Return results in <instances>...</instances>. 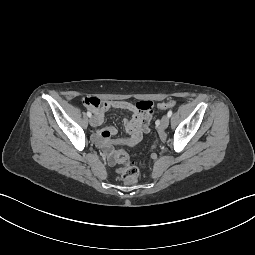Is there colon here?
<instances>
[{
	"mask_svg": "<svg viewBox=\"0 0 255 255\" xmlns=\"http://www.w3.org/2000/svg\"><path fill=\"white\" fill-rule=\"evenodd\" d=\"M85 104L93 105L95 104V101L91 98H87L85 100ZM174 105H175V101L169 100V101L160 103L159 108L167 109ZM115 158H116V162L121 165V167L118 169V172L121 174L124 183L127 185H133L134 183H136L140 171L136 165L131 164L129 162L128 153L125 150H119L116 153Z\"/></svg>",
	"mask_w": 255,
	"mask_h": 255,
	"instance_id": "1",
	"label": "colon"
}]
</instances>
